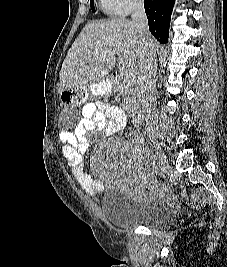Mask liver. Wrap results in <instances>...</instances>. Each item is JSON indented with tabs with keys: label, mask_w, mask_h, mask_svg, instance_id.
<instances>
[{
	"label": "liver",
	"mask_w": 227,
	"mask_h": 267,
	"mask_svg": "<svg viewBox=\"0 0 227 267\" xmlns=\"http://www.w3.org/2000/svg\"><path fill=\"white\" fill-rule=\"evenodd\" d=\"M148 43L155 50L157 42ZM119 60L121 69L139 77L144 46L132 21L114 18L88 23L69 49L60 71L59 91L63 87H85L104 80Z\"/></svg>",
	"instance_id": "6515ba94"
}]
</instances>
